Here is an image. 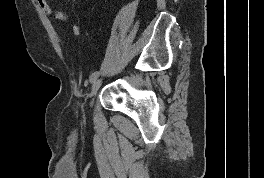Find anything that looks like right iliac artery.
Returning <instances> with one entry per match:
<instances>
[{
  "instance_id": "82829eb1",
  "label": "right iliac artery",
  "mask_w": 264,
  "mask_h": 178,
  "mask_svg": "<svg viewBox=\"0 0 264 178\" xmlns=\"http://www.w3.org/2000/svg\"><path fill=\"white\" fill-rule=\"evenodd\" d=\"M98 75H99V72H98V71L94 72V73L90 76V82H93V80L96 79Z\"/></svg>"
}]
</instances>
